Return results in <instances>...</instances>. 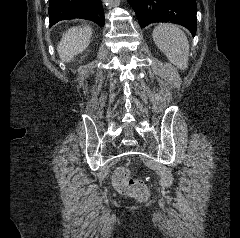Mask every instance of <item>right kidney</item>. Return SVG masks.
I'll list each match as a JSON object with an SVG mask.
<instances>
[{
    "instance_id": "obj_1",
    "label": "right kidney",
    "mask_w": 240,
    "mask_h": 238,
    "mask_svg": "<svg viewBox=\"0 0 240 238\" xmlns=\"http://www.w3.org/2000/svg\"><path fill=\"white\" fill-rule=\"evenodd\" d=\"M92 28L89 25L75 26L63 34L57 46L59 57L64 62H70L74 56L82 53L90 43Z\"/></svg>"
}]
</instances>
